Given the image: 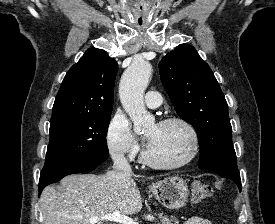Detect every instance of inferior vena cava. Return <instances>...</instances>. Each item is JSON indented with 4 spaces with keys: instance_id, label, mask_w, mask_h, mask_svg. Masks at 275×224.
Listing matches in <instances>:
<instances>
[{
    "instance_id": "602c4592",
    "label": "inferior vena cava",
    "mask_w": 275,
    "mask_h": 224,
    "mask_svg": "<svg viewBox=\"0 0 275 224\" xmlns=\"http://www.w3.org/2000/svg\"><path fill=\"white\" fill-rule=\"evenodd\" d=\"M111 157L114 162V169L121 172V177L124 180H130L132 176V169L123 153H112Z\"/></svg>"
}]
</instances>
